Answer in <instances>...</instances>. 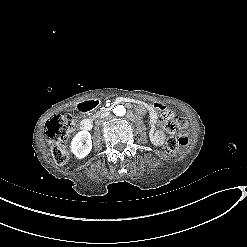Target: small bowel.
I'll use <instances>...</instances> for the list:
<instances>
[{
	"label": "small bowel",
	"mask_w": 247,
	"mask_h": 247,
	"mask_svg": "<svg viewBox=\"0 0 247 247\" xmlns=\"http://www.w3.org/2000/svg\"><path fill=\"white\" fill-rule=\"evenodd\" d=\"M147 112H148V116H149L150 122L152 124H155L157 122V120H158L159 112L155 111L151 107V105H148L147 106ZM175 118H176V123H177L178 127L180 129H182V130L185 129V123H184V121L182 119H180L179 117H177L176 115H175ZM151 140H152V142L155 145L161 146L165 142V133L162 130H160V129H156L151 134Z\"/></svg>",
	"instance_id": "small-bowel-1"
}]
</instances>
